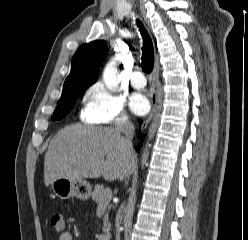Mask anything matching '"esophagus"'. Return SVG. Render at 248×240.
<instances>
[{
    "label": "esophagus",
    "mask_w": 248,
    "mask_h": 240,
    "mask_svg": "<svg viewBox=\"0 0 248 240\" xmlns=\"http://www.w3.org/2000/svg\"><path fill=\"white\" fill-rule=\"evenodd\" d=\"M158 83H159V58H158V56H156L155 65H154V74H153V80H152V89H153V92L151 95L152 109H151L149 115L147 116V118L143 121V123L141 125V130H144L147 127V125L151 121V119H152V117L156 111Z\"/></svg>",
    "instance_id": "34e87169"
}]
</instances>
